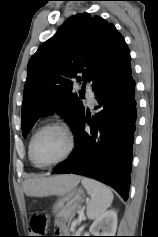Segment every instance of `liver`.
I'll return each mask as SVG.
<instances>
[{
    "label": "liver",
    "mask_w": 158,
    "mask_h": 237,
    "mask_svg": "<svg viewBox=\"0 0 158 237\" xmlns=\"http://www.w3.org/2000/svg\"><path fill=\"white\" fill-rule=\"evenodd\" d=\"M80 179L73 174L30 178L23 183V189L28 196L60 195L77 185Z\"/></svg>",
    "instance_id": "liver-1"
}]
</instances>
